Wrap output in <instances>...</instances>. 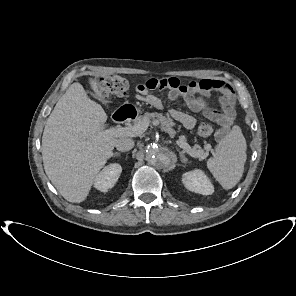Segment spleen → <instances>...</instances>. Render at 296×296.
I'll list each match as a JSON object with an SVG mask.
<instances>
[{
    "label": "spleen",
    "instance_id": "spleen-1",
    "mask_svg": "<svg viewBox=\"0 0 296 296\" xmlns=\"http://www.w3.org/2000/svg\"><path fill=\"white\" fill-rule=\"evenodd\" d=\"M246 141L238 126L218 143L207 168L224 189L233 188L241 179L246 162Z\"/></svg>",
    "mask_w": 296,
    "mask_h": 296
}]
</instances>
